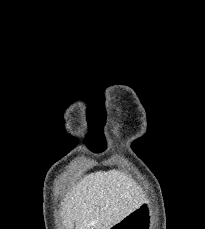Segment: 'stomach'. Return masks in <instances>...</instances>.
Returning a JSON list of instances; mask_svg holds the SVG:
<instances>
[{"instance_id": "obj_1", "label": "stomach", "mask_w": 205, "mask_h": 229, "mask_svg": "<svg viewBox=\"0 0 205 229\" xmlns=\"http://www.w3.org/2000/svg\"><path fill=\"white\" fill-rule=\"evenodd\" d=\"M152 225L153 214L150 206L147 203H142L110 229H152Z\"/></svg>"}]
</instances>
